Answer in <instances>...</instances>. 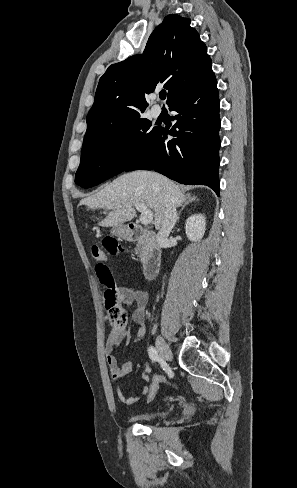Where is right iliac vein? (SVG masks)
Wrapping results in <instances>:
<instances>
[{
	"instance_id": "obj_1",
	"label": "right iliac vein",
	"mask_w": 297,
	"mask_h": 488,
	"mask_svg": "<svg viewBox=\"0 0 297 488\" xmlns=\"http://www.w3.org/2000/svg\"><path fill=\"white\" fill-rule=\"evenodd\" d=\"M156 348L161 356L166 361H170L173 358L172 352L166 344L162 336L156 337Z\"/></svg>"
}]
</instances>
